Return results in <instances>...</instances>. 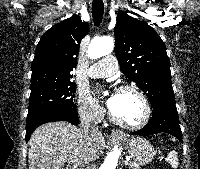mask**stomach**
Masks as SVG:
<instances>
[{
  "instance_id": "stomach-1",
  "label": "stomach",
  "mask_w": 200,
  "mask_h": 169,
  "mask_svg": "<svg viewBox=\"0 0 200 169\" xmlns=\"http://www.w3.org/2000/svg\"><path fill=\"white\" fill-rule=\"evenodd\" d=\"M117 141L125 145L131 158L139 165L150 163L156 154L154 147L144 138L124 137Z\"/></svg>"
}]
</instances>
